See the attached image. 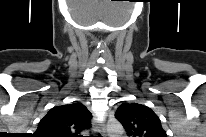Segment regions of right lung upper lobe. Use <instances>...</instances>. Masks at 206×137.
<instances>
[{"instance_id": "1", "label": "right lung upper lobe", "mask_w": 206, "mask_h": 137, "mask_svg": "<svg viewBox=\"0 0 206 137\" xmlns=\"http://www.w3.org/2000/svg\"><path fill=\"white\" fill-rule=\"evenodd\" d=\"M92 115L81 103L52 108L39 122L35 135L38 137H76L90 128Z\"/></svg>"}]
</instances>
